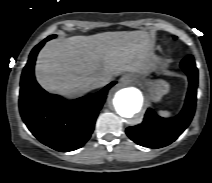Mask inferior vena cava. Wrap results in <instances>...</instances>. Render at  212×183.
I'll list each match as a JSON object with an SVG mask.
<instances>
[{"label": "inferior vena cava", "mask_w": 212, "mask_h": 183, "mask_svg": "<svg viewBox=\"0 0 212 183\" xmlns=\"http://www.w3.org/2000/svg\"><path fill=\"white\" fill-rule=\"evenodd\" d=\"M108 77H97L93 82L94 88L104 87L109 83Z\"/></svg>", "instance_id": "inferior-vena-cava-1"}]
</instances>
